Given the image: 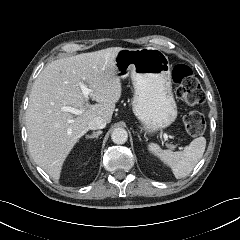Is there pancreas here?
I'll return each mask as SVG.
<instances>
[{
	"label": "pancreas",
	"mask_w": 240,
	"mask_h": 240,
	"mask_svg": "<svg viewBox=\"0 0 240 240\" xmlns=\"http://www.w3.org/2000/svg\"><path fill=\"white\" fill-rule=\"evenodd\" d=\"M168 147H169V148H171V149H173V148H174V146H173V145H168Z\"/></svg>",
	"instance_id": "1"
}]
</instances>
